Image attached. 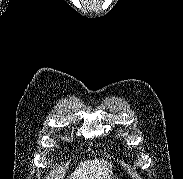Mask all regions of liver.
<instances>
[{
    "label": "liver",
    "mask_w": 183,
    "mask_h": 179,
    "mask_svg": "<svg viewBox=\"0 0 183 179\" xmlns=\"http://www.w3.org/2000/svg\"><path fill=\"white\" fill-rule=\"evenodd\" d=\"M112 165L104 159L86 160L70 175L69 179H111Z\"/></svg>",
    "instance_id": "obj_1"
}]
</instances>
